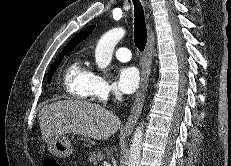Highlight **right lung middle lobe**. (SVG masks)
Here are the masks:
<instances>
[{
	"instance_id": "1",
	"label": "right lung middle lobe",
	"mask_w": 231,
	"mask_h": 166,
	"mask_svg": "<svg viewBox=\"0 0 231 166\" xmlns=\"http://www.w3.org/2000/svg\"><path fill=\"white\" fill-rule=\"evenodd\" d=\"M68 53H62V54H59L58 58L54 61V63L52 64L49 72H48V75H47V81L50 83L51 82V79H52V76L53 74L55 73L57 67L59 66V64L62 62V59L65 55H67Z\"/></svg>"
}]
</instances>
